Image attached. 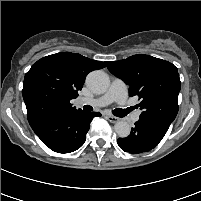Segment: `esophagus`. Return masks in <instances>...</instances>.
I'll use <instances>...</instances> for the list:
<instances>
[{"mask_svg":"<svg viewBox=\"0 0 201 201\" xmlns=\"http://www.w3.org/2000/svg\"><path fill=\"white\" fill-rule=\"evenodd\" d=\"M106 118L111 122V123H117L120 119L118 117H115L113 115H107Z\"/></svg>","mask_w":201,"mask_h":201,"instance_id":"1","label":"esophagus"}]
</instances>
